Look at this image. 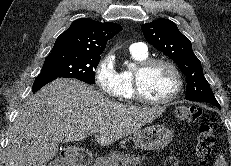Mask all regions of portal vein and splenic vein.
<instances>
[{"label": "portal vein and splenic vein", "mask_w": 231, "mask_h": 166, "mask_svg": "<svg viewBox=\"0 0 231 166\" xmlns=\"http://www.w3.org/2000/svg\"><path fill=\"white\" fill-rule=\"evenodd\" d=\"M91 134H94L95 133V131H92V132H90Z\"/></svg>", "instance_id": "18ae733b"}]
</instances>
